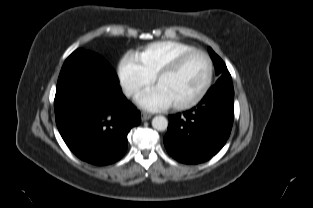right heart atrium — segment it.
Wrapping results in <instances>:
<instances>
[{"instance_id":"d8ad5b80","label":"right heart atrium","mask_w":313,"mask_h":208,"mask_svg":"<svg viewBox=\"0 0 313 208\" xmlns=\"http://www.w3.org/2000/svg\"><path fill=\"white\" fill-rule=\"evenodd\" d=\"M120 84L128 97L135 96L153 82V75L147 72L134 55L122 59L118 68Z\"/></svg>"}]
</instances>
